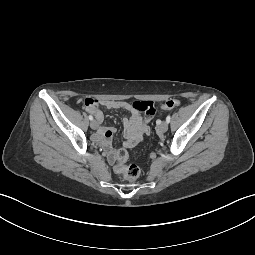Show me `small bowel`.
Here are the masks:
<instances>
[{"label": "small bowel", "instance_id": "c3829d8e", "mask_svg": "<svg viewBox=\"0 0 255 255\" xmlns=\"http://www.w3.org/2000/svg\"><path fill=\"white\" fill-rule=\"evenodd\" d=\"M99 101L92 106H86V110L93 115H95L96 120L99 125H101L104 121V114L99 109ZM101 104L108 109H118L123 108L127 109L131 112V116L129 118H125L123 120L124 133L126 137V141L124 142V146L132 147L136 143H138L144 135H148L150 133V128L147 125L152 117L155 116L156 110L153 104L149 101H136L133 104H130L125 101H103ZM140 111L146 114L145 121L140 114ZM115 133V129L111 127H100L96 139L106 145L109 149V160L111 163H114V154L110 149V142Z\"/></svg>", "mask_w": 255, "mask_h": 255}]
</instances>
